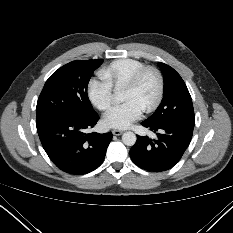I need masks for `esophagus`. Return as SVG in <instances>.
Wrapping results in <instances>:
<instances>
[{
  "label": "esophagus",
  "mask_w": 233,
  "mask_h": 233,
  "mask_svg": "<svg viewBox=\"0 0 233 233\" xmlns=\"http://www.w3.org/2000/svg\"><path fill=\"white\" fill-rule=\"evenodd\" d=\"M112 133L115 136H119V135H121L123 133V131L122 130H116V129H114V130H112Z\"/></svg>",
  "instance_id": "1"
}]
</instances>
